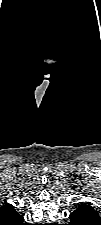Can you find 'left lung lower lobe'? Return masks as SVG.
<instances>
[{"label":"left lung lower lobe","instance_id":"1","mask_svg":"<svg viewBox=\"0 0 101 225\" xmlns=\"http://www.w3.org/2000/svg\"><path fill=\"white\" fill-rule=\"evenodd\" d=\"M100 220L97 211L90 207L79 206L70 214L68 225H99Z\"/></svg>","mask_w":101,"mask_h":225}]
</instances>
